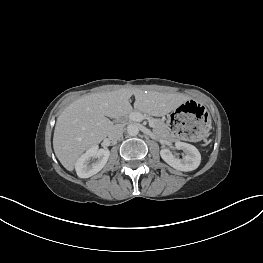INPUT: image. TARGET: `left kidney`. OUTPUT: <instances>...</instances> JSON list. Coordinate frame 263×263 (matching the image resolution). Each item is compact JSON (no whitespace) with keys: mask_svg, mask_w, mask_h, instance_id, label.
<instances>
[{"mask_svg":"<svg viewBox=\"0 0 263 263\" xmlns=\"http://www.w3.org/2000/svg\"><path fill=\"white\" fill-rule=\"evenodd\" d=\"M175 147L178 150H183L185 156L182 159L176 158L169 149H162L160 151V155L167 164L177 170L185 172L198 168L201 162V155L195 146L181 141H176Z\"/></svg>","mask_w":263,"mask_h":263,"instance_id":"left-kidney-1","label":"left kidney"}]
</instances>
